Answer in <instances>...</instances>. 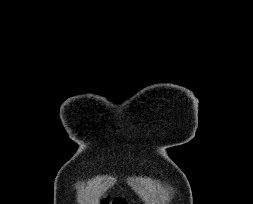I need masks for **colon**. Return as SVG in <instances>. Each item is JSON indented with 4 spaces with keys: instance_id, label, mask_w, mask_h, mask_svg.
Here are the masks:
<instances>
[{
    "instance_id": "1",
    "label": "colon",
    "mask_w": 253,
    "mask_h": 204,
    "mask_svg": "<svg viewBox=\"0 0 253 204\" xmlns=\"http://www.w3.org/2000/svg\"><path fill=\"white\" fill-rule=\"evenodd\" d=\"M102 204H109L110 200L108 198L102 199ZM112 204H124V202L120 198H115L111 201Z\"/></svg>"
}]
</instances>
